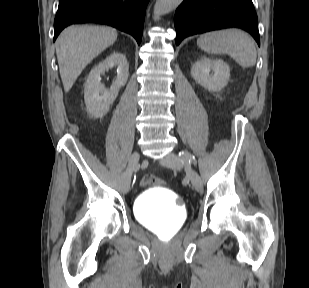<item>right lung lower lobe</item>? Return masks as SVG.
<instances>
[{
  "instance_id": "98d812e1",
  "label": "right lung lower lobe",
  "mask_w": 309,
  "mask_h": 288,
  "mask_svg": "<svg viewBox=\"0 0 309 288\" xmlns=\"http://www.w3.org/2000/svg\"><path fill=\"white\" fill-rule=\"evenodd\" d=\"M148 2L149 0H59L53 40L70 24L94 22L127 32L140 44Z\"/></svg>"
}]
</instances>
